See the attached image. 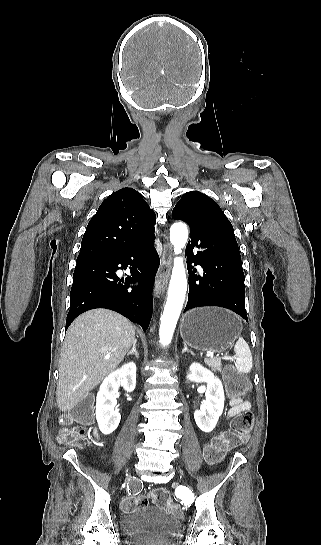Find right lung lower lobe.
Wrapping results in <instances>:
<instances>
[{"instance_id": "98d812e1", "label": "right lung lower lobe", "mask_w": 321, "mask_h": 545, "mask_svg": "<svg viewBox=\"0 0 321 545\" xmlns=\"http://www.w3.org/2000/svg\"><path fill=\"white\" fill-rule=\"evenodd\" d=\"M154 235L116 255L79 261L73 274L70 310L66 329L81 313L94 309L114 310L142 326L146 331L152 316V291L160 260L154 248ZM130 265L125 285L116 275ZM140 285L130 287L129 283Z\"/></svg>"}]
</instances>
